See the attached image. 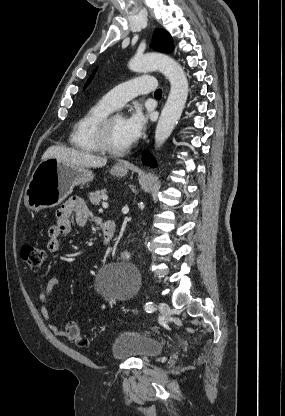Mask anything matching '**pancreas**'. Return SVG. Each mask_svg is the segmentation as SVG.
I'll use <instances>...</instances> for the list:
<instances>
[{"label": "pancreas", "instance_id": "pancreas-1", "mask_svg": "<svg viewBox=\"0 0 285 416\" xmlns=\"http://www.w3.org/2000/svg\"><path fill=\"white\" fill-rule=\"evenodd\" d=\"M106 192L107 190H105V188H103V190H97V192H90L88 198L91 204H93V206H99V202H101L102 196H106Z\"/></svg>", "mask_w": 285, "mask_h": 416}]
</instances>
